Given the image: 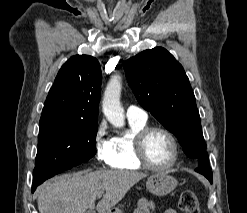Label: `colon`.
Instances as JSON below:
<instances>
[{
    "label": "colon",
    "mask_w": 247,
    "mask_h": 213,
    "mask_svg": "<svg viewBox=\"0 0 247 213\" xmlns=\"http://www.w3.org/2000/svg\"><path fill=\"white\" fill-rule=\"evenodd\" d=\"M179 208L183 213H201L197 196L191 190H185L181 193Z\"/></svg>",
    "instance_id": "1"
}]
</instances>
